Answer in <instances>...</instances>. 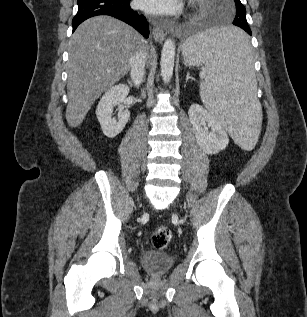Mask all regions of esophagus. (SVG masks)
Instances as JSON below:
<instances>
[{
  "label": "esophagus",
  "instance_id": "obj_1",
  "mask_svg": "<svg viewBox=\"0 0 307 317\" xmlns=\"http://www.w3.org/2000/svg\"><path fill=\"white\" fill-rule=\"evenodd\" d=\"M152 35L155 41L158 43H162L165 39V33L163 32V30L155 25L153 26Z\"/></svg>",
  "mask_w": 307,
  "mask_h": 317
}]
</instances>
